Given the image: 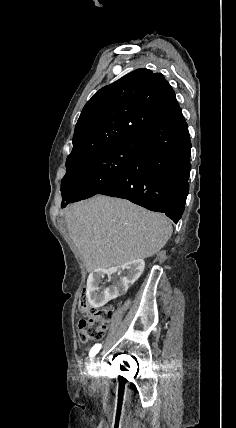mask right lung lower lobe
<instances>
[{
  "label": "right lung lower lobe",
  "mask_w": 236,
  "mask_h": 428,
  "mask_svg": "<svg viewBox=\"0 0 236 428\" xmlns=\"http://www.w3.org/2000/svg\"><path fill=\"white\" fill-rule=\"evenodd\" d=\"M136 140L132 161L97 194L130 200L177 223L185 208L191 169V142L181 108Z\"/></svg>",
  "instance_id": "1"
}]
</instances>
